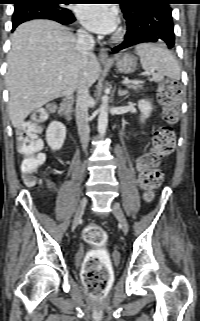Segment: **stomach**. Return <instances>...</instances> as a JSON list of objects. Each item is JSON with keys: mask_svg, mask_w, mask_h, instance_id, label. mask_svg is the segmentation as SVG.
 Here are the masks:
<instances>
[{"mask_svg": "<svg viewBox=\"0 0 200 321\" xmlns=\"http://www.w3.org/2000/svg\"><path fill=\"white\" fill-rule=\"evenodd\" d=\"M115 67L122 74H131L137 69L138 59L130 53H124L115 57Z\"/></svg>", "mask_w": 200, "mask_h": 321, "instance_id": "obj_1", "label": "stomach"}]
</instances>
